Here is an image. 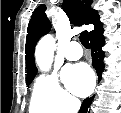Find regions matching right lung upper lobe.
<instances>
[{"mask_svg": "<svg viewBox=\"0 0 121 113\" xmlns=\"http://www.w3.org/2000/svg\"><path fill=\"white\" fill-rule=\"evenodd\" d=\"M92 0H63V9L73 24H93L94 30L89 36L96 34L102 29V23L96 10L91 9ZM45 5H40L33 12L27 29L25 58L27 61V77L35 76L37 68L34 62V49L40 37L45 35L51 28V24L44 13Z\"/></svg>", "mask_w": 121, "mask_h": 113, "instance_id": "cb5924a9", "label": "right lung upper lobe"}]
</instances>
